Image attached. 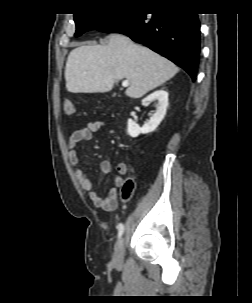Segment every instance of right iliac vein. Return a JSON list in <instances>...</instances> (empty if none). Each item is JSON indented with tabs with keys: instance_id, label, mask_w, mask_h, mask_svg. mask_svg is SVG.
<instances>
[{
	"instance_id": "63e3f726",
	"label": "right iliac vein",
	"mask_w": 252,
	"mask_h": 303,
	"mask_svg": "<svg viewBox=\"0 0 252 303\" xmlns=\"http://www.w3.org/2000/svg\"><path fill=\"white\" fill-rule=\"evenodd\" d=\"M124 259V238L120 237L114 246L113 262L122 265Z\"/></svg>"
}]
</instances>
